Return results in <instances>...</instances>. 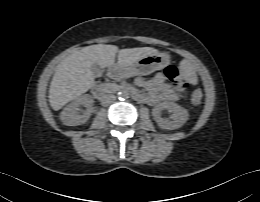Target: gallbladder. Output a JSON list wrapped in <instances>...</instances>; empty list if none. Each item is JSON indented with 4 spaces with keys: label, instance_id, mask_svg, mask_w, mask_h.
<instances>
[{
    "label": "gallbladder",
    "instance_id": "gallbladder-1",
    "mask_svg": "<svg viewBox=\"0 0 260 202\" xmlns=\"http://www.w3.org/2000/svg\"><path fill=\"white\" fill-rule=\"evenodd\" d=\"M91 72L95 77H101L104 70L99 64L93 63L91 65Z\"/></svg>",
    "mask_w": 260,
    "mask_h": 202
}]
</instances>
